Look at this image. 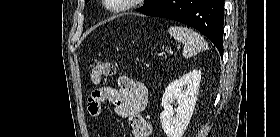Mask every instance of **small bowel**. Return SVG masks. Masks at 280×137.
<instances>
[{"mask_svg":"<svg viewBox=\"0 0 280 137\" xmlns=\"http://www.w3.org/2000/svg\"><path fill=\"white\" fill-rule=\"evenodd\" d=\"M117 86V88L102 86L93 89L87 105L89 114L98 119L102 106L111 103L116 115L127 120L133 137H149L151 127L142 117L149 97L147 87L127 75H120L117 78Z\"/></svg>","mask_w":280,"mask_h":137,"instance_id":"obj_1","label":"small bowel"}]
</instances>
